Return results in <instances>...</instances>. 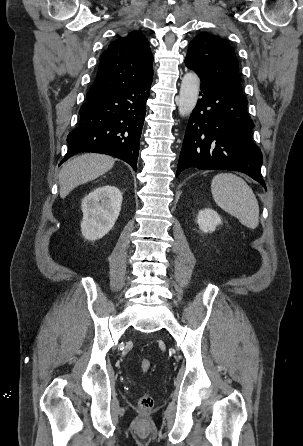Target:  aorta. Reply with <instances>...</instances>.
<instances>
[{"label": "aorta", "mask_w": 303, "mask_h": 446, "mask_svg": "<svg viewBox=\"0 0 303 446\" xmlns=\"http://www.w3.org/2000/svg\"><path fill=\"white\" fill-rule=\"evenodd\" d=\"M200 80L193 72L184 75L177 100L180 116L189 115L195 108L199 95Z\"/></svg>", "instance_id": "obj_1"}]
</instances>
